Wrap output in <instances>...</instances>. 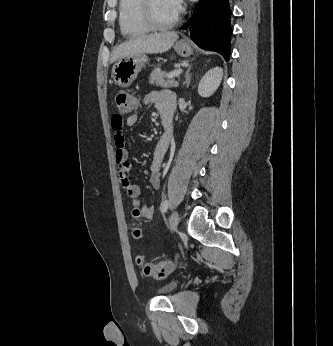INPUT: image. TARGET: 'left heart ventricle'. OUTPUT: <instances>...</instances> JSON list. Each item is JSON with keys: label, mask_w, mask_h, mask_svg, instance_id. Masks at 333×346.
Returning a JSON list of instances; mask_svg holds the SVG:
<instances>
[{"label": "left heart ventricle", "mask_w": 333, "mask_h": 346, "mask_svg": "<svg viewBox=\"0 0 333 346\" xmlns=\"http://www.w3.org/2000/svg\"><path fill=\"white\" fill-rule=\"evenodd\" d=\"M153 12L161 22L170 20L176 14L167 0H153Z\"/></svg>", "instance_id": "1"}]
</instances>
